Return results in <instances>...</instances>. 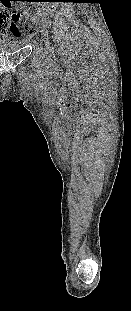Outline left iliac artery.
<instances>
[{
  "label": "left iliac artery",
  "instance_id": "left-iliac-artery-1",
  "mask_svg": "<svg viewBox=\"0 0 131 311\" xmlns=\"http://www.w3.org/2000/svg\"><path fill=\"white\" fill-rule=\"evenodd\" d=\"M43 22L46 24V26L50 27L51 26V20L50 19H45Z\"/></svg>",
  "mask_w": 131,
  "mask_h": 311
}]
</instances>
